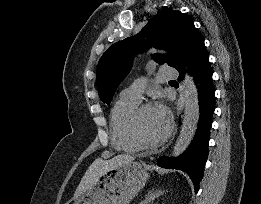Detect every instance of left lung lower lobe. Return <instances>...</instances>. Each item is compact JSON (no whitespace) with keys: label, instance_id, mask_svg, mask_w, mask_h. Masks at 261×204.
I'll use <instances>...</instances> for the list:
<instances>
[{"label":"left lung lower lobe","instance_id":"0a47b994","mask_svg":"<svg viewBox=\"0 0 261 204\" xmlns=\"http://www.w3.org/2000/svg\"><path fill=\"white\" fill-rule=\"evenodd\" d=\"M186 66L191 76L194 77L198 89L200 113L198 127L193 141L185 153L177 158L160 157L158 165L163 168L186 172L191 177L197 193L207 161L212 114L215 110V88L212 80V70L209 55L204 45V38L200 33L193 37L181 64L176 68L180 74L179 81L184 78Z\"/></svg>","mask_w":261,"mask_h":204}]
</instances>
